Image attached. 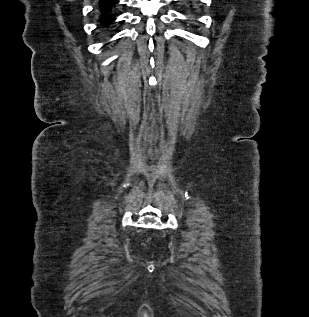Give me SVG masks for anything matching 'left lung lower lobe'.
<instances>
[{
	"mask_svg": "<svg viewBox=\"0 0 309 317\" xmlns=\"http://www.w3.org/2000/svg\"><path fill=\"white\" fill-rule=\"evenodd\" d=\"M182 2L188 14H197V2L195 0H182Z\"/></svg>",
	"mask_w": 309,
	"mask_h": 317,
	"instance_id": "1",
	"label": "left lung lower lobe"
}]
</instances>
